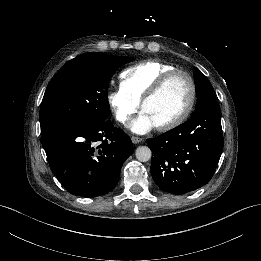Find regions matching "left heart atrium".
Returning <instances> with one entry per match:
<instances>
[{"instance_id":"1","label":"left heart atrium","mask_w":261,"mask_h":261,"mask_svg":"<svg viewBox=\"0 0 261 261\" xmlns=\"http://www.w3.org/2000/svg\"><path fill=\"white\" fill-rule=\"evenodd\" d=\"M154 127H156L155 122L145 111H142L130 125L131 130L137 134H145Z\"/></svg>"}]
</instances>
